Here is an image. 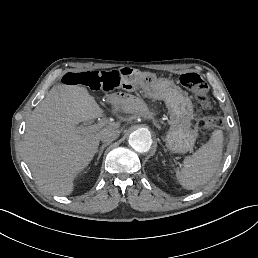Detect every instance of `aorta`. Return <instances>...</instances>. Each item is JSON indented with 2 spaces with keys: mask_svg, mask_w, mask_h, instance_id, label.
I'll return each mask as SVG.
<instances>
[{
  "mask_svg": "<svg viewBox=\"0 0 258 258\" xmlns=\"http://www.w3.org/2000/svg\"><path fill=\"white\" fill-rule=\"evenodd\" d=\"M128 141L130 146L139 153L149 151L153 142L150 132L144 128L133 131Z\"/></svg>",
  "mask_w": 258,
  "mask_h": 258,
  "instance_id": "762f6f07",
  "label": "aorta"
}]
</instances>
